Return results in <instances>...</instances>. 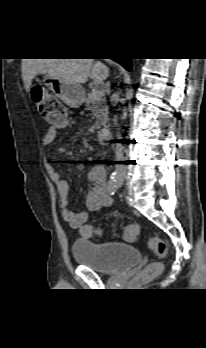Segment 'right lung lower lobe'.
Instances as JSON below:
<instances>
[{"instance_id":"right-lung-lower-lobe-1","label":"right lung lower lobe","mask_w":206,"mask_h":348,"mask_svg":"<svg viewBox=\"0 0 206 348\" xmlns=\"http://www.w3.org/2000/svg\"><path fill=\"white\" fill-rule=\"evenodd\" d=\"M113 60L121 64L128 71L132 69V61L129 58H121V59H113Z\"/></svg>"}]
</instances>
